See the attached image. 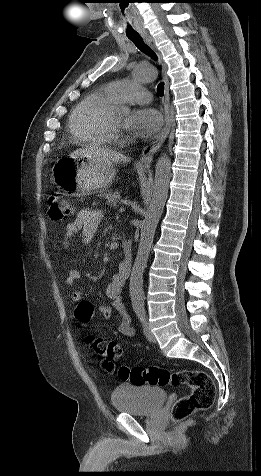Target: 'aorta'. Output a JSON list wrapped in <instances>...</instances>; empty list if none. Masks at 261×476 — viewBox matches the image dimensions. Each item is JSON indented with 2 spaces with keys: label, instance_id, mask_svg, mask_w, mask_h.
Masks as SVG:
<instances>
[{
  "label": "aorta",
  "instance_id": "obj_1",
  "mask_svg": "<svg viewBox=\"0 0 261 476\" xmlns=\"http://www.w3.org/2000/svg\"><path fill=\"white\" fill-rule=\"evenodd\" d=\"M157 72L152 65H140L134 69V77L140 82H152ZM120 113L127 115L129 108L122 106ZM171 174V160L167 154H162L155 166V179L149 206L141 225L140 240L137 255L132 267L129 291L133 307L144 305L143 273L148 262L155 231L168 197Z\"/></svg>",
  "mask_w": 261,
  "mask_h": 476
}]
</instances>
